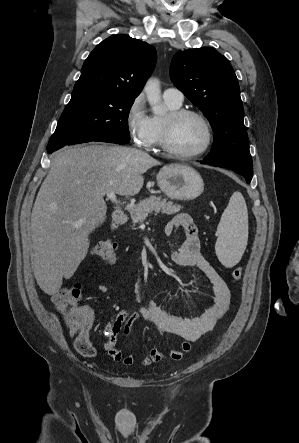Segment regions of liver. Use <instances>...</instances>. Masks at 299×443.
<instances>
[{
    "label": "liver",
    "instance_id": "6515ba94",
    "mask_svg": "<svg viewBox=\"0 0 299 443\" xmlns=\"http://www.w3.org/2000/svg\"><path fill=\"white\" fill-rule=\"evenodd\" d=\"M157 165L144 151L106 144L56 153L31 215L34 276L46 294L55 295L85 258L89 235L106 219L104 196L138 194Z\"/></svg>",
    "mask_w": 299,
    "mask_h": 443
}]
</instances>
